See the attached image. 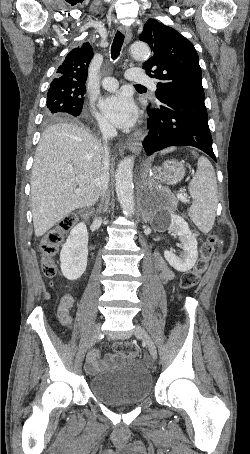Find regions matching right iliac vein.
Segmentation results:
<instances>
[{
  "label": "right iliac vein",
  "mask_w": 250,
  "mask_h": 454,
  "mask_svg": "<svg viewBox=\"0 0 250 454\" xmlns=\"http://www.w3.org/2000/svg\"><path fill=\"white\" fill-rule=\"evenodd\" d=\"M101 335V326L100 324L96 325L93 331L92 338L90 340L89 348L93 347Z\"/></svg>",
  "instance_id": "obj_1"
}]
</instances>
